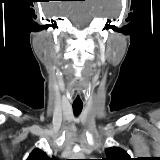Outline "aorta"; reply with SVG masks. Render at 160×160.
Instances as JSON below:
<instances>
[{
    "mask_svg": "<svg viewBox=\"0 0 160 160\" xmlns=\"http://www.w3.org/2000/svg\"><path fill=\"white\" fill-rule=\"evenodd\" d=\"M72 159H84V155L82 153H75Z\"/></svg>",
    "mask_w": 160,
    "mask_h": 160,
    "instance_id": "aorta-1",
    "label": "aorta"
}]
</instances>
